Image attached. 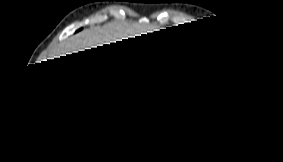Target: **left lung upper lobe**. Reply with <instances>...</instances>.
<instances>
[{"mask_svg":"<svg viewBox=\"0 0 283 162\" xmlns=\"http://www.w3.org/2000/svg\"><path fill=\"white\" fill-rule=\"evenodd\" d=\"M191 34L200 36V37H214L212 36L210 30L206 27H199L191 32Z\"/></svg>","mask_w":283,"mask_h":162,"instance_id":"left-lung-upper-lobe-1","label":"left lung upper lobe"}]
</instances>
